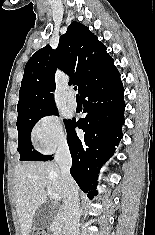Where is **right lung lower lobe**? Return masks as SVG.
I'll list each match as a JSON object with an SVG mask.
<instances>
[{"label": "right lung lower lobe", "mask_w": 155, "mask_h": 235, "mask_svg": "<svg viewBox=\"0 0 155 235\" xmlns=\"http://www.w3.org/2000/svg\"><path fill=\"white\" fill-rule=\"evenodd\" d=\"M86 117L71 121L67 142L72 156L70 173L89 198L97 195L99 169L114 154L122 138L124 88L118 70L87 85L81 92ZM85 132L79 139L75 128ZM52 160L48 156L43 161Z\"/></svg>", "instance_id": "98d812e1"}]
</instances>
